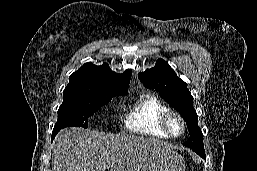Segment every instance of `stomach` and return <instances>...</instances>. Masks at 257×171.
<instances>
[{"label":"stomach","mask_w":257,"mask_h":171,"mask_svg":"<svg viewBox=\"0 0 257 171\" xmlns=\"http://www.w3.org/2000/svg\"><path fill=\"white\" fill-rule=\"evenodd\" d=\"M141 171H185L183 157L175 151L150 152Z\"/></svg>","instance_id":"stomach-1"}]
</instances>
